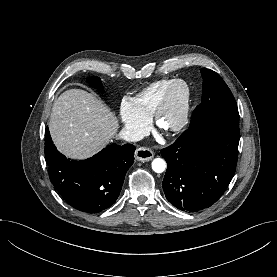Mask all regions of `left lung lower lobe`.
I'll list each match as a JSON object with an SVG mask.
<instances>
[{"instance_id":"1","label":"left lung lower lobe","mask_w":277,"mask_h":277,"mask_svg":"<svg viewBox=\"0 0 277 277\" xmlns=\"http://www.w3.org/2000/svg\"><path fill=\"white\" fill-rule=\"evenodd\" d=\"M239 138L238 121L215 118L197 122L162 149L168 201L189 213L215 203L235 173Z\"/></svg>"}]
</instances>
